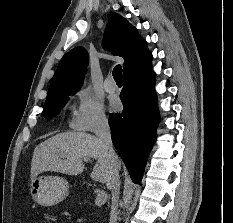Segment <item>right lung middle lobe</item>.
<instances>
[{"mask_svg": "<svg viewBox=\"0 0 233 223\" xmlns=\"http://www.w3.org/2000/svg\"><path fill=\"white\" fill-rule=\"evenodd\" d=\"M67 98L68 97H65L58 102L44 105L43 112H42L43 117L52 118L53 116H56L61 111V109L64 107Z\"/></svg>", "mask_w": 233, "mask_h": 223, "instance_id": "right-lung-middle-lobe-1", "label": "right lung middle lobe"}]
</instances>
